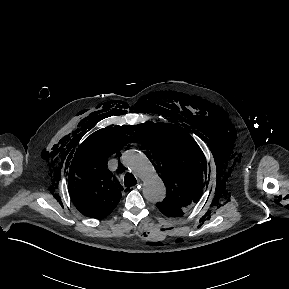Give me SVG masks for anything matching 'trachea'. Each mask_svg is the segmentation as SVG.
<instances>
[{"label":"trachea","instance_id":"trachea-1","mask_svg":"<svg viewBox=\"0 0 289 289\" xmlns=\"http://www.w3.org/2000/svg\"><path fill=\"white\" fill-rule=\"evenodd\" d=\"M136 184H137L136 178L131 173H127L124 177V185L126 187H131Z\"/></svg>","mask_w":289,"mask_h":289}]
</instances>
